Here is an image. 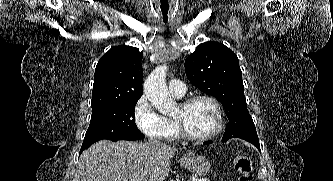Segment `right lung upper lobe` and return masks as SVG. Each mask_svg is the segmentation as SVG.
Returning a JSON list of instances; mask_svg holds the SVG:
<instances>
[{
	"mask_svg": "<svg viewBox=\"0 0 333 181\" xmlns=\"http://www.w3.org/2000/svg\"><path fill=\"white\" fill-rule=\"evenodd\" d=\"M143 53L131 46H117L105 53L94 74L92 108L142 96Z\"/></svg>",
	"mask_w": 333,
	"mask_h": 181,
	"instance_id": "1",
	"label": "right lung upper lobe"
}]
</instances>
